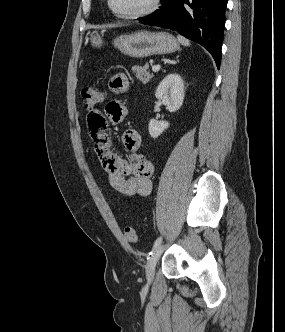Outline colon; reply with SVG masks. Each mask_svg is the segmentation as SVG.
<instances>
[{"mask_svg": "<svg viewBox=\"0 0 285 332\" xmlns=\"http://www.w3.org/2000/svg\"><path fill=\"white\" fill-rule=\"evenodd\" d=\"M82 99L84 106L89 111H94L98 104H100L104 99L103 92L96 87H88L82 91ZM124 235L126 239L135 243L137 241V232L134 227L127 226L124 230Z\"/></svg>", "mask_w": 285, "mask_h": 332, "instance_id": "1", "label": "colon"}]
</instances>
